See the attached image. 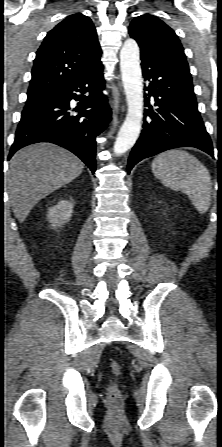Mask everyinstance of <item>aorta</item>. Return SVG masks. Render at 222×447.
Returning <instances> with one entry per match:
<instances>
[{
    "label": "aorta",
    "mask_w": 222,
    "mask_h": 447,
    "mask_svg": "<svg viewBox=\"0 0 222 447\" xmlns=\"http://www.w3.org/2000/svg\"><path fill=\"white\" fill-rule=\"evenodd\" d=\"M120 70L127 100V115L116 141L114 153L128 151L139 137L143 118V79L137 42L127 39L120 51Z\"/></svg>",
    "instance_id": "762f6f07"
}]
</instances>
